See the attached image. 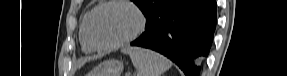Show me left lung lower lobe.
Masks as SVG:
<instances>
[{"mask_svg":"<svg viewBox=\"0 0 287 76\" xmlns=\"http://www.w3.org/2000/svg\"><path fill=\"white\" fill-rule=\"evenodd\" d=\"M215 27V0H171L146 19L145 32L131 45L155 50L186 76H199Z\"/></svg>","mask_w":287,"mask_h":76,"instance_id":"0a47b994","label":"left lung lower lobe"}]
</instances>
